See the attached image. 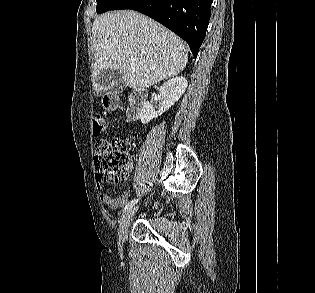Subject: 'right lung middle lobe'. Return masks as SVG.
Instances as JSON below:
<instances>
[{
    "instance_id": "obj_1",
    "label": "right lung middle lobe",
    "mask_w": 315,
    "mask_h": 293,
    "mask_svg": "<svg viewBox=\"0 0 315 293\" xmlns=\"http://www.w3.org/2000/svg\"><path fill=\"white\" fill-rule=\"evenodd\" d=\"M118 0H97L96 12L98 14L108 11Z\"/></svg>"
}]
</instances>
